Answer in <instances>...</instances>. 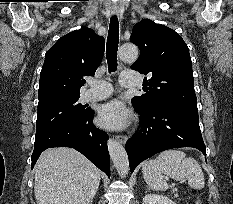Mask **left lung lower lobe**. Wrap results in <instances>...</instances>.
I'll return each mask as SVG.
<instances>
[{
	"label": "left lung lower lobe",
	"mask_w": 233,
	"mask_h": 204,
	"mask_svg": "<svg viewBox=\"0 0 233 204\" xmlns=\"http://www.w3.org/2000/svg\"><path fill=\"white\" fill-rule=\"evenodd\" d=\"M137 111L141 131L126 143L131 172L142 161L171 148L194 147L206 155L197 107L161 103Z\"/></svg>",
	"instance_id": "1"
}]
</instances>
